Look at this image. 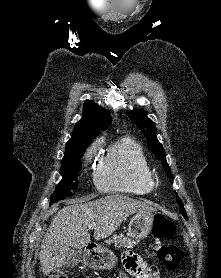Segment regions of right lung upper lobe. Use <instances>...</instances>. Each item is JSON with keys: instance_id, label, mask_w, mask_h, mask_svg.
<instances>
[{"instance_id": "cb5924a9", "label": "right lung upper lobe", "mask_w": 221, "mask_h": 278, "mask_svg": "<svg viewBox=\"0 0 221 278\" xmlns=\"http://www.w3.org/2000/svg\"><path fill=\"white\" fill-rule=\"evenodd\" d=\"M111 122L109 111H105L104 108L91 100H86L83 117L75 124L72 137L66 144L65 152L89 144L101 131L107 129Z\"/></svg>"}]
</instances>
